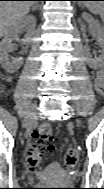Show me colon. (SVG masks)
Listing matches in <instances>:
<instances>
[{
    "instance_id": "obj_1",
    "label": "colon",
    "mask_w": 104,
    "mask_h": 189,
    "mask_svg": "<svg viewBox=\"0 0 104 189\" xmlns=\"http://www.w3.org/2000/svg\"><path fill=\"white\" fill-rule=\"evenodd\" d=\"M34 143L28 148L27 166L30 170H38L41 166L45 151L53 149V130L49 124L39 125L32 134ZM79 160V152L76 147H69L64 155L66 169L73 168Z\"/></svg>"
}]
</instances>
